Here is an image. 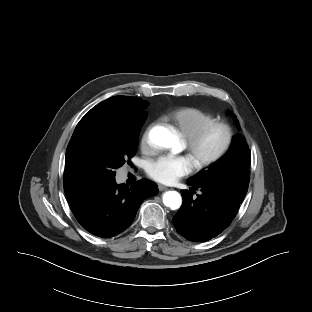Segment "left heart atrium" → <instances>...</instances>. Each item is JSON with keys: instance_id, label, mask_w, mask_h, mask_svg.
Instances as JSON below:
<instances>
[{"instance_id": "39dd6f15", "label": "left heart atrium", "mask_w": 312, "mask_h": 312, "mask_svg": "<svg viewBox=\"0 0 312 312\" xmlns=\"http://www.w3.org/2000/svg\"><path fill=\"white\" fill-rule=\"evenodd\" d=\"M192 161L185 156H162L152 162L148 176L163 184H172L192 171Z\"/></svg>"}]
</instances>
